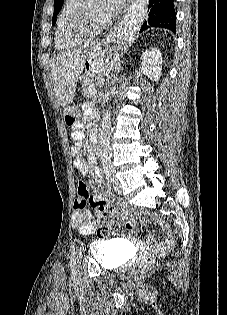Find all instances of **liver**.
I'll list each match as a JSON object with an SVG mask.
<instances>
[{
    "label": "liver",
    "mask_w": 227,
    "mask_h": 315,
    "mask_svg": "<svg viewBox=\"0 0 227 315\" xmlns=\"http://www.w3.org/2000/svg\"><path fill=\"white\" fill-rule=\"evenodd\" d=\"M117 55L115 47L103 50L100 42H92L55 56L51 61V75L58 104L64 108L72 103L78 78L87 61L94 72L103 73L114 66ZM112 57L114 60L110 61Z\"/></svg>",
    "instance_id": "liver-1"
}]
</instances>
